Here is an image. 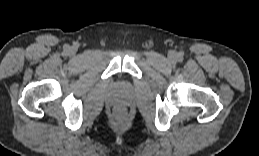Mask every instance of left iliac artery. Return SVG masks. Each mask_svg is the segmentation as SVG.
<instances>
[{
	"label": "left iliac artery",
	"instance_id": "left-iliac-artery-1",
	"mask_svg": "<svg viewBox=\"0 0 259 156\" xmlns=\"http://www.w3.org/2000/svg\"><path fill=\"white\" fill-rule=\"evenodd\" d=\"M182 59V56L181 55H179V60H181Z\"/></svg>",
	"mask_w": 259,
	"mask_h": 156
}]
</instances>
